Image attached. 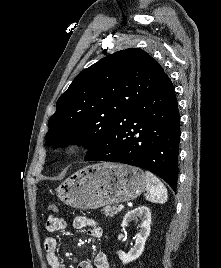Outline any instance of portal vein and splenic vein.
<instances>
[{
    "instance_id": "18ae733b",
    "label": "portal vein and splenic vein",
    "mask_w": 221,
    "mask_h": 268,
    "mask_svg": "<svg viewBox=\"0 0 221 268\" xmlns=\"http://www.w3.org/2000/svg\"><path fill=\"white\" fill-rule=\"evenodd\" d=\"M118 208H119L120 210H122V209L124 208V205L120 204V205L118 206Z\"/></svg>"
}]
</instances>
